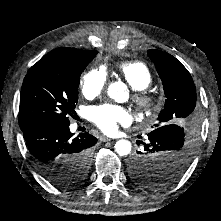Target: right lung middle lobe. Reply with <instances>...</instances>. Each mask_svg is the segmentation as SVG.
Returning <instances> with one entry per match:
<instances>
[{"mask_svg": "<svg viewBox=\"0 0 221 221\" xmlns=\"http://www.w3.org/2000/svg\"><path fill=\"white\" fill-rule=\"evenodd\" d=\"M32 66L24 78L20 95V128L43 120L69 121L78 101L80 75L97 55ZM90 151L67 158L61 166L47 169V179L58 186H70L87 174Z\"/></svg>", "mask_w": 221, "mask_h": 221, "instance_id": "dd1d6c3e", "label": "right lung middle lobe"}]
</instances>
